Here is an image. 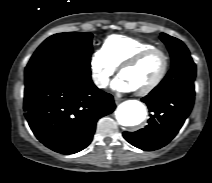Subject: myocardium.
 I'll return each mask as SVG.
<instances>
[{"instance_id": "f54148a6", "label": "myocardium", "mask_w": 212, "mask_h": 183, "mask_svg": "<svg viewBox=\"0 0 212 183\" xmlns=\"http://www.w3.org/2000/svg\"><path fill=\"white\" fill-rule=\"evenodd\" d=\"M153 53H160L162 55V57H163L162 69H161L159 75L156 77V79L152 83H150L149 85H147L144 88L134 90L135 94H137V95H146V94L151 93L165 79V77L168 73V70H169V65H170V58H169L168 53L160 47H152V48L146 49L144 51H141L140 53L136 54L129 60L125 61L120 66L119 74L121 75L123 71L130 69L132 67H135L136 65H138L140 62H142L144 59H146L148 56L152 55Z\"/></svg>"}]
</instances>
